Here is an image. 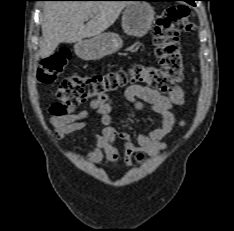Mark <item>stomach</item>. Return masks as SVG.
I'll use <instances>...</instances> for the list:
<instances>
[{
  "instance_id": "1",
  "label": "stomach",
  "mask_w": 234,
  "mask_h": 231,
  "mask_svg": "<svg viewBox=\"0 0 234 231\" xmlns=\"http://www.w3.org/2000/svg\"><path fill=\"white\" fill-rule=\"evenodd\" d=\"M154 9L147 2H130L122 13V29L134 37H143L154 22ZM123 46L121 37L114 32L101 33L75 45L76 54L84 60H99L117 52Z\"/></svg>"
}]
</instances>
